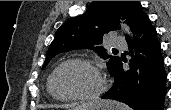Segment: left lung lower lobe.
<instances>
[{"mask_svg":"<svg viewBox=\"0 0 171 110\" xmlns=\"http://www.w3.org/2000/svg\"><path fill=\"white\" fill-rule=\"evenodd\" d=\"M134 35V42L127 39L129 48L135 47L137 51L135 56L131 55L130 69H123L120 61L113 74L115 83L102 98L124 102L134 110H163L166 95L164 59L156 29L148 16Z\"/></svg>","mask_w":171,"mask_h":110,"instance_id":"left-lung-lower-lobe-1","label":"left lung lower lobe"}]
</instances>
